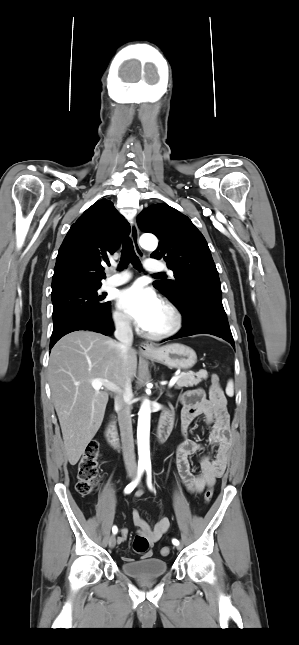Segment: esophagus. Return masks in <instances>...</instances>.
I'll list each match as a JSON object with an SVG mask.
<instances>
[{
	"label": "esophagus",
	"mask_w": 299,
	"mask_h": 645,
	"mask_svg": "<svg viewBox=\"0 0 299 645\" xmlns=\"http://www.w3.org/2000/svg\"><path fill=\"white\" fill-rule=\"evenodd\" d=\"M130 238H131V240L133 242V245L135 247L136 253L141 256L143 254V252H142V249L140 248V245H139V230H138L137 224L135 222L131 223ZM139 351L143 355H149V354L155 353L156 348L150 342H142L140 344V346H139Z\"/></svg>",
	"instance_id": "1"
}]
</instances>
